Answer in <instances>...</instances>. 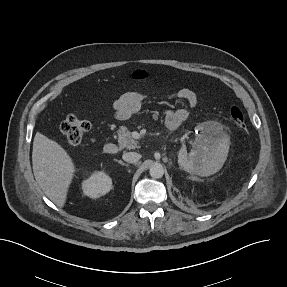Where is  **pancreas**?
Segmentation results:
<instances>
[{
  "label": "pancreas",
  "mask_w": 287,
  "mask_h": 287,
  "mask_svg": "<svg viewBox=\"0 0 287 287\" xmlns=\"http://www.w3.org/2000/svg\"><path fill=\"white\" fill-rule=\"evenodd\" d=\"M117 134L120 149L127 148L131 150L139 147L137 141L133 139L131 132L127 129V127L121 126L118 129Z\"/></svg>",
  "instance_id": "obj_1"
}]
</instances>
